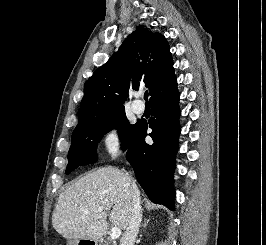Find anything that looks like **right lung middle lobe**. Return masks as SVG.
Returning <instances> with one entry per match:
<instances>
[{
	"label": "right lung middle lobe",
	"mask_w": 266,
	"mask_h": 245,
	"mask_svg": "<svg viewBox=\"0 0 266 245\" xmlns=\"http://www.w3.org/2000/svg\"><path fill=\"white\" fill-rule=\"evenodd\" d=\"M135 127L136 124L132 125L126 119L124 110L79 121L72 134L66 174L79 166L95 163L97 144L106 133L113 129L118 130L122 146L127 149Z\"/></svg>",
	"instance_id": "obj_1"
}]
</instances>
